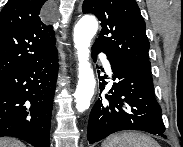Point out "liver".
Here are the masks:
<instances>
[{"instance_id":"6515ba94","label":"liver","mask_w":183,"mask_h":147,"mask_svg":"<svg viewBox=\"0 0 183 147\" xmlns=\"http://www.w3.org/2000/svg\"><path fill=\"white\" fill-rule=\"evenodd\" d=\"M0 147H25L18 140H14L11 138H0Z\"/></svg>"}]
</instances>
